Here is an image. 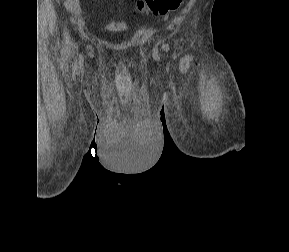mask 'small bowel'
<instances>
[{"label":"small bowel","mask_w":289,"mask_h":252,"mask_svg":"<svg viewBox=\"0 0 289 252\" xmlns=\"http://www.w3.org/2000/svg\"><path fill=\"white\" fill-rule=\"evenodd\" d=\"M64 6L74 14H79L82 11L81 0H64Z\"/></svg>","instance_id":"small-bowel-1"}]
</instances>
